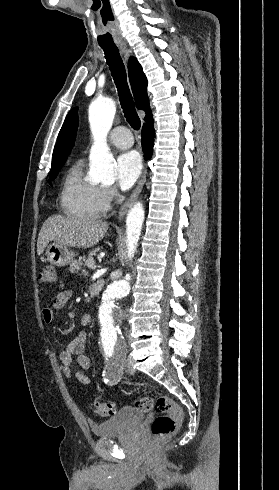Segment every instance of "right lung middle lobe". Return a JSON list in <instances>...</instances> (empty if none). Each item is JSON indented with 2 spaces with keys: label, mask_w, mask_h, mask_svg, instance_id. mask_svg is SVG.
<instances>
[{
  "label": "right lung middle lobe",
  "mask_w": 279,
  "mask_h": 490,
  "mask_svg": "<svg viewBox=\"0 0 279 490\" xmlns=\"http://www.w3.org/2000/svg\"><path fill=\"white\" fill-rule=\"evenodd\" d=\"M61 169V167H58L56 169H53L50 171V177H49V180H53L55 179V177L57 176L59 170Z\"/></svg>",
  "instance_id": "obj_1"
}]
</instances>
